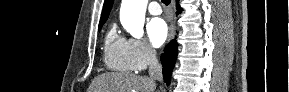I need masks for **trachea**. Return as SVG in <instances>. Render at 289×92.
<instances>
[{
    "instance_id": "1",
    "label": "trachea",
    "mask_w": 289,
    "mask_h": 92,
    "mask_svg": "<svg viewBox=\"0 0 289 92\" xmlns=\"http://www.w3.org/2000/svg\"><path fill=\"white\" fill-rule=\"evenodd\" d=\"M162 2L165 4V5H169L170 4V0H162Z\"/></svg>"
}]
</instances>
